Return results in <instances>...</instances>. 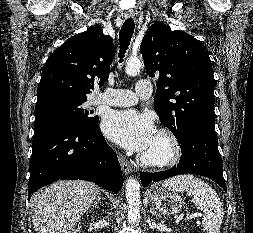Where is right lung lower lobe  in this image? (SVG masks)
<instances>
[{
	"label": "right lung lower lobe",
	"mask_w": 253,
	"mask_h": 233,
	"mask_svg": "<svg viewBox=\"0 0 253 233\" xmlns=\"http://www.w3.org/2000/svg\"><path fill=\"white\" fill-rule=\"evenodd\" d=\"M99 120V119H98ZM28 194L59 179H80L119 192L123 185L116 153L98 121L78 127L51 120L34 125Z\"/></svg>",
	"instance_id": "98d812e1"
}]
</instances>
